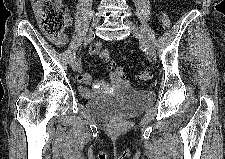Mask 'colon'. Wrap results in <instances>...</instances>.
<instances>
[{
	"label": "colon",
	"mask_w": 225,
	"mask_h": 159,
	"mask_svg": "<svg viewBox=\"0 0 225 159\" xmlns=\"http://www.w3.org/2000/svg\"><path fill=\"white\" fill-rule=\"evenodd\" d=\"M36 10L43 30L49 36L63 38V32L69 24V14L64 3L61 0H38ZM161 21L165 27L170 25V19L166 12L162 13ZM99 57L110 62L111 75L114 79L119 80L124 76V68L111 61V53L108 49L100 50ZM152 75L151 70L144 69L140 73V80L149 81Z\"/></svg>",
	"instance_id": "5ec220e1"
}]
</instances>
